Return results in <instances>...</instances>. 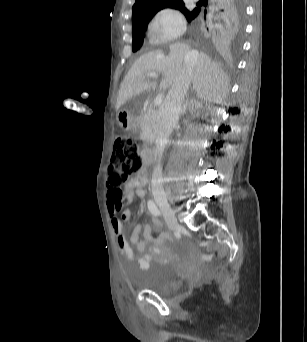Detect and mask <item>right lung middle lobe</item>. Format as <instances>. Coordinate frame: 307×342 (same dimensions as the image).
<instances>
[{
    "instance_id": "right-lung-middle-lobe-1",
    "label": "right lung middle lobe",
    "mask_w": 307,
    "mask_h": 342,
    "mask_svg": "<svg viewBox=\"0 0 307 342\" xmlns=\"http://www.w3.org/2000/svg\"><path fill=\"white\" fill-rule=\"evenodd\" d=\"M143 38H144V32L133 36V42H132L133 52L137 51L141 47L143 43Z\"/></svg>"
}]
</instances>
